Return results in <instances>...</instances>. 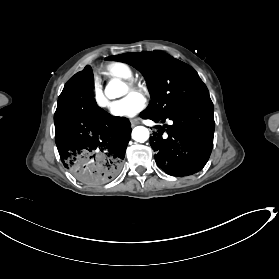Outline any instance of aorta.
<instances>
[{
  "label": "aorta",
  "mask_w": 279,
  "mask_h": 279,
  "mask_svg": "<svg viewBox=\"0 0 279 279\" xmlns=\"http://www.w3.org/2000/svg\"><path fill=\"white\" fill-rule=\"evenodd\" d=\"M126 92V84L118 79L111 80L105 88V94L109 99L121 97ZM132 138L136 142L144 143L149 138V130L144 126H137L132 130Z\"/></svg>",
  "instance_id": "762f6f07"
}]
</instances>
